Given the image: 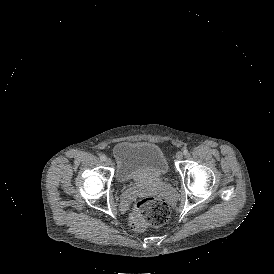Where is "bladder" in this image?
Segmentation results:
<instances>
[{"mask_svg":"<svg viewBox=\"0 0 274 274\" xmlns=\"http://www.w3.org/2000/svg\"><path fill=\"white\" fill-rule=\"evenodd\" d=\"M116 177L121 183L141 179L158 180L169 171V164L161 147L150 142L124 141L113 148Z\"/></svg>","mask_w":274,"mask_h":274,"instance_id":"1","label":"bladder"}]
</instances>
